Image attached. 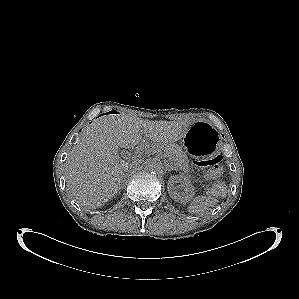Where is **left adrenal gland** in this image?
I'll return each instance as SVG.
<instances>
[{
    "mask_svg": "<svg viewBox=\"0 0 299 299\" xmlns=\"http://www.w3.org/2000/svg\"><path fill=\"white\" fill-rule=\"evenodd\" d=\"M167 167H168L169 172L172 171V170H176L172 165H168Z\"/></svg>",
    "mask_w": 299,
    "mask_h": 299,
    "instance_id": "1",
    "label": "left adrenal gland"
}]
</instances>
